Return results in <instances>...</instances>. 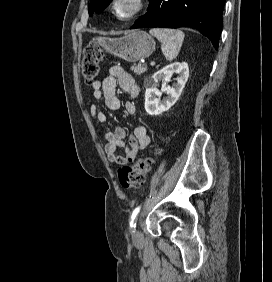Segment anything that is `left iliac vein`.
Instances as JSON below:
<instances>
[{"instance_id": "obj_1", "label": "left iliac vein", "mask_w": 272, "mask_h": 282, "mask_svg": "<svg viewBox=\"0 0 272 282\" xmlns=\"http://www.w3.org/2000/svg\"><path fill=\"white\" fill-rule=\"evenodd\" d=\"M132 241L137 246H140L142 244V241H143L142 233L136 227H134L133 230H132Z\"/></svg>"}]
</instances>
